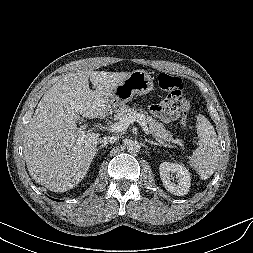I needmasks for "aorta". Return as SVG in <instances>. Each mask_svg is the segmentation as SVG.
<instances>
[{
    "label": "aorta",
    "mask_w": 253,
    "mask_h": 253,
    "mask_svg": "<svg viewBox=\"0 0 253 253\" xmlns=\"http://www.w3.org/2000/svg\"><path fill=\"white\" fill-rule=\"evenodd\" d=\"M141 145L137 140H129L127 143V150L129 153H137L140 151Z\"/></svg>",
    "instance_id": "obj_1"
}]
</instances>
